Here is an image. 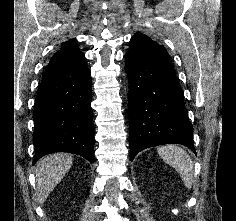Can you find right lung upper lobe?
Masks as SVG:
<instances>
[{"label":"right lung upper lobe","mask_w":236,"mask_h":221,"mask_svg":"<svg viewBox=\"0 0 236 221\" xmlns=\"http://www.w3.org/2000/svg\"><path fill=\"white\" fill-rule=\"evenodd\" d=\"M80 57H83V54L78 49L77 41L74 39H71L67 41L61 47V49L53 55V57L51 58L46 68L55 66L61 63H65L68 61H72Z\"/></svg>","instance_id":"obj_1"}]
</instances>
